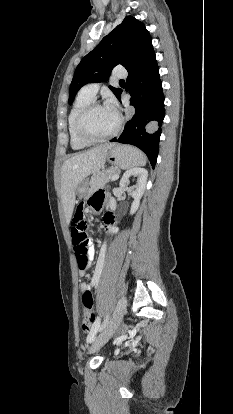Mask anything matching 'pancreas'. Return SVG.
<instances>
[{
	"label": "pancreas",
	"instance_id": "obj_1",
	"mask_svg": "<svg viewBox=\"0 0 233 414\" xmlns=\"http://www.w3.org/2000/svg\"><path fill=\"white\" fill-rule=\"evenodd\" d=\"M119 174L120 170L117 167H111L109 169L94 173L89 183V193L103 187L107 182L111 181L114 176H119Z\"/></svg>",
	"mask_w": 233,
	"mask_h": 414
}]
</instances>
